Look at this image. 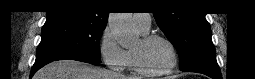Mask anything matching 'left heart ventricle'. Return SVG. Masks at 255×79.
I'll return each instance as SVG.
<instances>
[{"label":"left heart ventricle","mask_w":255,"mask_h":79,"mask_svg":"<svg viewBox=\"0 0 255 79\" xmlns=\"http://www.w3.org/2000/svg\"><path fill=\"white\" fill-rule=\"evenodd\" d=\"M137 53L143 67L150 71L164 69L170 62V50L161 40L143 43L142 39L132 49Z\"/></svg>","instance_id":"left-heart-ventricle-1"}]
</instances>
